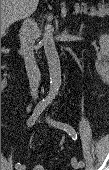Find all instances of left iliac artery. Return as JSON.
<instances>
[{"label":"left iliac artery","instance_id":"44dca946","mask_svg":"<svg viewBox=\"0 0 109 170\" xmlns=\"http://www.w3.org/2000/svg\"><path fill=\"white\" fill-rule=\"evenodd\" d=\"M47 121L54 127L56 128H60L64 131H66L68 133L69 136L72 137L73 140L77 139V134L75 132V130L73 129V127H71L69 124L66 123H62V122H57L53 119H51L50 117H47ZM79 164L84 167V162L83 161H79Z\"/></svg>","mask_w":109,"mask_h":170}]
</instances>
